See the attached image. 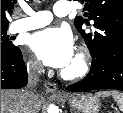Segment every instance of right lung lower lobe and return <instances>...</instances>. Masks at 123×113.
Segmentation results:
<instances>
[{
	"label": "right lung lower lobe",
	"instance_id": "98d812e1",
	"mask_svg": "<svg viewBox=\"0 0 123 113\" xmlns=\"http://www.w3.org/2000/svg\"><path fill=\"white\" fill-rule=\"evenodd\" d=\"M27 84V69L21 51L1 53V89H18Z\"/></svg>",
	"mask_w": 123,
	"mask_h": 113
}]
</instances>
